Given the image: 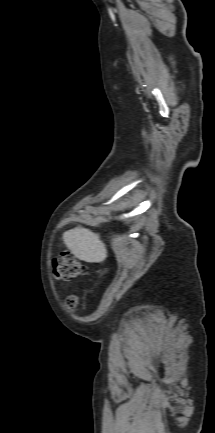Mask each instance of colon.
Instances as JSON below:
<instances>
[{"instance_id":"obj_1","label":"colon","mask_w":215,"mask_h":433,"mask_svg":"<svg viewBox=\"0 0 215 433\" xmlns=\"http://www.w3.org/2000/svg\"><path fill=\"white\" fill-rule=\"evenodd\" d=\"M86 269L71 252H61L54 260V275L59 279L69 280L85 273ZM75 297L68 299V305L74 307Z\"/></svg>"}]
</instances>
